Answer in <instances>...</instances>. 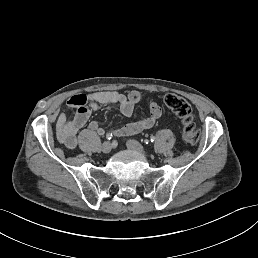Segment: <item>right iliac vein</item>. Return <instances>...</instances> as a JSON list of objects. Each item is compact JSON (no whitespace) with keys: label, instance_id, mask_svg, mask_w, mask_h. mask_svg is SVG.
I'll return each instance as SVG.
<instances>
[{"label":"right iliac vein","instance_id":"right-iliac-vein-1","mask_svg":"<svg viewBox=\"0 0 258 258\" xmlns=\"http://www.w3.org/2000/svg\"><path fill=\"white\" fill-rule=\"evenodd\" d=\"M111 149H112V145H111L110 142L105 141V142L102 143V145H101V152L103 154H108L111 151Z\"/></svg>","mask_w":258,"mask_h":258}]
</instances>
